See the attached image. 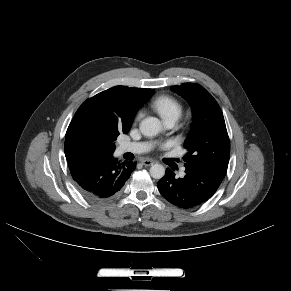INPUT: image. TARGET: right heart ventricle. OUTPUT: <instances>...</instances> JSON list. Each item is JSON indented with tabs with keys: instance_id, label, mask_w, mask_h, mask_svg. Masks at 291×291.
<instances>
[{
	"instance_id": "right-heart-ventricle-1",
	"label": "right heart ventricle",
	"mask_w": 291,
	"mask_h": 291,
	"mask_svg": "<svg viewBox=\"0 0 291 291\" xmlns=\"http://www.w3.org/2000/svg\"><path fill=\"white\" fill-rule=\"evenodd\" d=\"M151 105L164 121L177 120L182 113V104L171 95H159L153 99Z\"/></svg>"
}]
</instances>
